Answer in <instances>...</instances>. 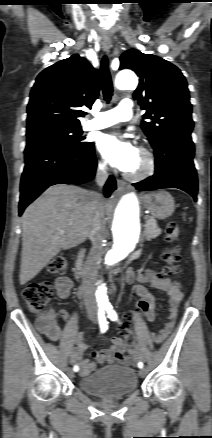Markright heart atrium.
I'll return each mask as SVG.
<instances>
[{
    "label": "right heart atrium",
    "instance_id": "right-heart-atrium-1",
    "mask_svg": "<svg viewBox=\"0 0 212 438\" xmlns=\"http://www.w3.org/2000/svg\"><path fill=\"white\" fill-rule=\"evenodd\" d=\"M98 167H99L100 170H105L106 169V163L104 161H99Z\"/></svg>",
    "mask_w": 212,
    "mask_h": 438
}]
</instances>
